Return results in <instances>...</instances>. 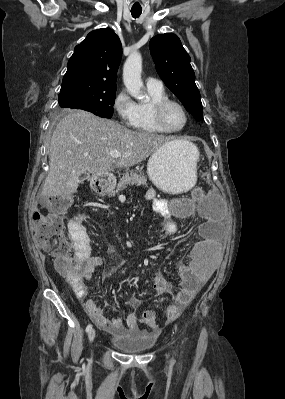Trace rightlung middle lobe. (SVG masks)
Here are the masks:
<instances>
[{
  "instance_id": "obj_1",
  "label": "right lung middle lobe",
  "mask_w": 285,
  "mask_h": 399,
  "mask_svg": "<svg viewBox=\"0 0 285 399\" xmlns=\"http://www.w3.org/2000/svg\"><path fill=\"white\" fill-rule=\"evenodd\" d=\"M113 91H74L59 94V106L89 111L102 118H111L115 102Z\"/></svg>"
}]
</instances>
